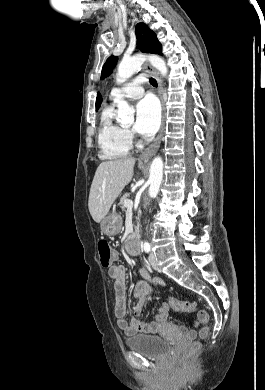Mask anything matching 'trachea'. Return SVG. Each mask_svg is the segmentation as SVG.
Returning <instances> with one entry per match:
<instances>
[{
	"mask_svg": "<svg viewBox=\"0 0 265 390\" xmlns=\"http://www.w3.org/2000/svg\"><path fill=\"white\" fill-rule=\"evenodd\" d=\"M150 83H151V85L154 86V87H157V85H158V84H157V81H156L155 79H153V78L150 79Z\"/></svg>",
	"mask_w": 265,
	"mask_h": 390,
	"instance_id": "obj_1",
	"label": "trachea"
}]
</instances>
